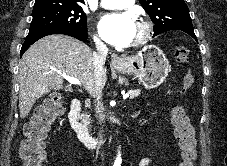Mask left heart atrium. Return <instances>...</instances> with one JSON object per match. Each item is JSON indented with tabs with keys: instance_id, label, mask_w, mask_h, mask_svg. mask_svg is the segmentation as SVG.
<instances>
[{
	"instance_id": "obj_1",
	"label": "left heart atrium",
	"mask_w": 227,
	"mask_h": 166,
	"mask_svg": "<svg viewBox=\"0 0 227 166\" xmlns=\"http://www.w3.org/2000/svg\"><path fill=\"white\" fill-rule=\"evenodd\" d=\"M136 23L129 13L108 14L99 21V31L110 44L126 45L132 42Z\"/></svg>"
}]
</instances>
